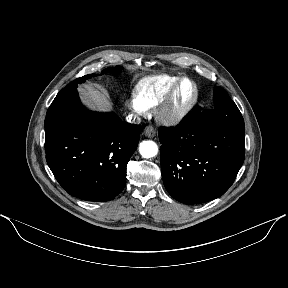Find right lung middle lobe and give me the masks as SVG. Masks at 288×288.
<instances>
[{
	"instance_id": "dd1d6c3e",
	"label": "right lung middle lobe",
	"mask_w": 288,
	"mask_h": 288,
	"mask_svg": "<svg viewBox=\"0 0 288 288\" xmlns=\"http://www.w3.org/2000/svg\"><path fill=\"white\" fill-rule=\"evenodd\" d=\"M121 70V67L120 66H116V67H112V68H108V69H104L102 71V75L107 73V72H111V73H116L118 71ZM96 75L95 74H89V75H86V76H83L81 78H77L76 80L72 81L71 83H69L65 88H63L56 96L55 99H58L60 98L61 96L67 94L68 92L72 91L73 89H76L77 88V85L78 84H81V83H84L86 79H89L91 77H95Z\"/></svg>"
}]
</instances>
